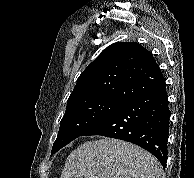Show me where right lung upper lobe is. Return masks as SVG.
<instances>
[{"label": "right lung upper lobe", "instance_id": "1", "mask_svg": "<svg viewBox=\"0 0 194 178\" xmlns=\"http://www.w3.org/2000/svg\"><path fill=\"white\" fill-rule=\"evenodd\" d=\"M164 85L151 52L136 42H118L108 46L81 73L67 103L96 97L127 101Z\"/></svg>", "mask_w": 194, "mask_h": 178}]
</instances>
